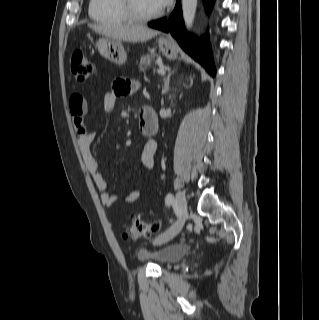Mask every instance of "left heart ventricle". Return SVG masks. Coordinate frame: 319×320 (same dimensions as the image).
Masks as SVG:
<instances>
[{
	"mask_svg": "<svg viewBox=\"0 0 319 320\" xmlns=\"http://www.w3.org/2000/svg\"><path fill=\"white\" fill-rule=\"evenodd\" d=\"M137 10L141 14H151L159 10L154 0H134Z\"/></svg>",
	"mask_w": 319,
	"mask_h": 320,
	"instance_id": "b2bd125f",
	"label": "left heart ventricle"
}]
</instances>
